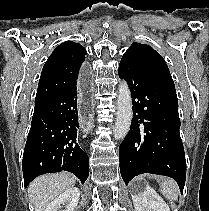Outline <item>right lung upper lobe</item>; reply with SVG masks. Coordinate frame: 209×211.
Returning <instances> with one entry per match:
<instances>
[{"instance_id": "obj_1", "label": "right lung upper lobe", "mask_w": 209, "mask_h": 211, "mask_svg": "<svg viewBox=\"0 0 209 211\" xmlns=\"http://www.w3.org/2000/svg\"><path fill=\"white\" fill-rule=\"evenodd\" d=\"M86 54L82 45L72 41L56 47L43 67L35 108L77 85L79 70Z\"/></svg>"}]
</instances>
